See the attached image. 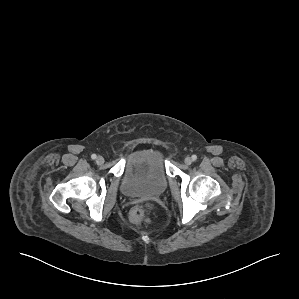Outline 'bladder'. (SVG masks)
<instances>
[{"label":"bladder","mask_w":299,"mask_h":299,"mask_svg":"<svg viewBox=\"0 0 299 299\" xmlns=\"http://www.w3.org/2000/svg\"><path fill=\"white\" fill-rule=\"evenodd\" d=\"M168 186L161 152L145 147L134 152L128 160L121 180V191L128 197H155Z\"/></svg>","instance_id":"31cf9c89"}]
</instances>
